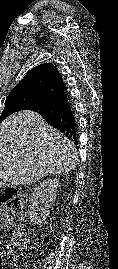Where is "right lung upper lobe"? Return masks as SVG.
I'll list each match as a JSON object with an SVG mask.
<instances>
[{
	"instance_id": "obj_1",
	"label": "right lung upper lobe",
	"mask_w": 118,
	"mask_h": 269,
	"mask_svg": "<svg viewBox=\"0 0 118 269\" xmlns=\"http://www.w3.org/2000/svg\"><path fill=\"white\" fill-rule=\"evenodd\" d=\"M65 88L57 68L51 63H44L32 68L9 95H22L26 109Z\"/></svg>"
}]
</instances>
